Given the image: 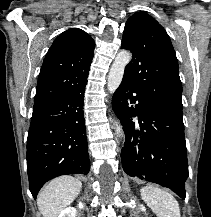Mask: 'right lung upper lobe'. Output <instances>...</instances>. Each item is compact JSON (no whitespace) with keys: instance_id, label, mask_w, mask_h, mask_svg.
<instances>
[{"instance_id":"right-lung-upper-lobe-1","label":"right lung upper lobe","mask_w":211,"mask_h":217,"mask_svg":"<svg viewBox=\"0 0 211 217\" xmlns=\"http://www.w3.org/2000/svg\"><path fill=\"white\" fill-rule=\"evenodd\" d=\"M95 43L83 30L61 33L49 48L38 77L34 108L59 99L87 81Z\"/></svg>"}]
</instances>
